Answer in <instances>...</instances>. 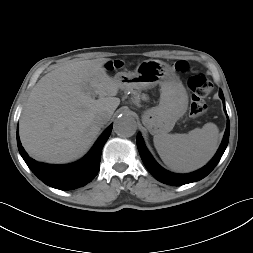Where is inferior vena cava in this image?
<instances>
[{
	"instance_id": "1",
	"label": "inferior vena cava",
	"mask_w": 253,
	"mask_h": 253,
	"mask_svg": "<svg viewBox=\"0 0 253 253\" xmlns=\"http://www.w3.org/2000/svg\"><path fill=\"white\" fill-rule=\"evenodd\" d=\"M108 120H109V116L106 113H100L95 117V122L100 126H103L104 124H106Z\"/></svg>"
}]
</instances>
